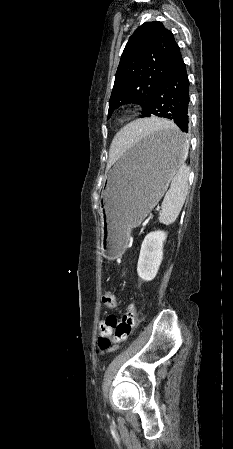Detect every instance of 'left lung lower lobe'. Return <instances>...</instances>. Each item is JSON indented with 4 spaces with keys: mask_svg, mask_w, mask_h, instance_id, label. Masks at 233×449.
I'll return each mask as SVG.
<instances>
[{
    "mask_svg": "<svg viewBox=\"0 0 233 449\" xmlns=\"http://www.w3.org/2000/svg\"><path fill=\"white\" fill-rule=\"evenodd\" d=\"M189 80L183 59L164 76L153 94L149 110L143 117L168 118L174 121L181 131L189 130ZM157 139L168 146L179 147L184 142V136L162 133Z\"/></svg>",
    "mask_w": 233,
    "mask_h": 449,
    "instance_id": "obj_1",
    "label": "left lung lower lobe"
}]
</instances>
